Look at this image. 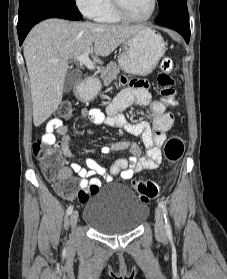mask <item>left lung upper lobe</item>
Returning <instances> with one entry per match:
<instances>
[{
    "label": "left lung upper lobe",
    "mask_w": 227,
    "mask_h": 279,
    "mask_svg": "<svg viewBox=\"0 0 227 279\" xmlns=\"http://www.w3.org/2000/svg\"><path fill=\"white\" fill-rule=\"evenodd\" d=\"M160 10L165 9L172 3H187V0H158Z\"/></svg>",
    "instance_id": "obj_1"
}]
</instances>
